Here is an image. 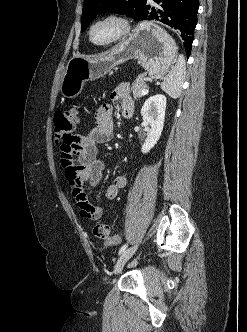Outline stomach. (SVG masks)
Instances as JSON below:
<instances>
[{
    "label": "stomach",
    "instance_id": "0dacf381",
    "mask_svg": "<svg viewBox=\"0 0 247 332\" xmlns=\"http://www.w3.org/2000/svg\"><path fill=\"white\" fill-rule=\"evenodd\" d=\"M176 55V44L166 31L153 22H142L110 52L95 58H71L62 77L60 91L65 98H75L87 81L103 77L130 59H139L148 75L159 79L172 67Z\"/></svg>",
    "mask_w": 247,
    "mask_h": 332
}]
</instances>
